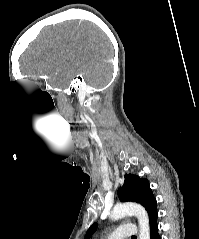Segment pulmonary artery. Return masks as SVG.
<instances>
[{
  "label": "pulmonary artery",
  "mask_w": 199,
  "mask_h": 239,
  "mask_svg": "<svg viewBox=\"0 0 199 239\" xmlns=\"http://www.w3.org/2000/svg\"><path fill=\"white\" fill-rule=\"evenodd\" d=\"M137 227L134 224H124L107 236V239H127L135 235Z\"/></svg>",
  "instance_id": "e3ab8cb5"
}]
</instances>
